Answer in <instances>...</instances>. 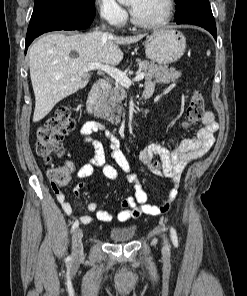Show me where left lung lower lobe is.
Wrapping results in <instances>:
<instances>
[{
	"instance_id": "obj_1",
	"label": "left lung lower lobe",
	"mask_w": 247,
	"mask_h": 296,
	"mask_svg": "<svg viewBox=\"0 0 247 296\" xmlns=\"http://www.w3.org/2000/svg\"><path fill=\"white\" fill-rule=\"evenodd\" d=\"M175 18L177 24H194L208 30L217 40L216 24L209 2H199L189 11Z\"/></svg>"
}]
</instances>
